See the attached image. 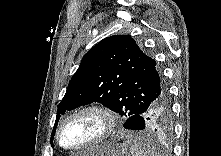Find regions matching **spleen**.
Wrapping results in <instances>:
<instances>
[{"instance_id":"spleen-1","label":"spleen","mask_w":221,"mask_h":156,"mask_svg":"<svg viewBox=\"0 0 221 156\" xmlns=\"http://www.w3.org/2000/svg\"><path fill=\"white\" fill-rule=\"evenodd\" d=\"M128 147L131 156H155V151L150 148L146 140L141 137L125 141L123 143Z\"/></svg>"}]
</instances>
